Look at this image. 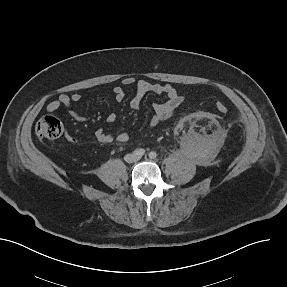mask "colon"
<instances>
[{"label":"colon","instance_id":"1","mask_svg":"<svg viewBox=\"0 0 287 287\" xmlns=\"http://www.w3.org/2000/svg\"><path fill=\"white\" fill-rule=\"evenodd\" d=\"M215 109L218 113L224 114L228 107L223 102H217ZM64 131L63 123L53 115H46L35 124V133L41 140H54L59 138Z\"/></svg>","mask_w":287,"mask_h":287}]
</instances>
